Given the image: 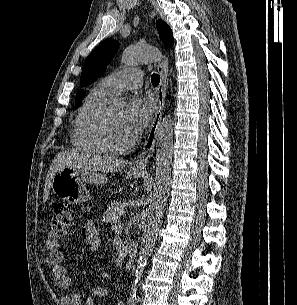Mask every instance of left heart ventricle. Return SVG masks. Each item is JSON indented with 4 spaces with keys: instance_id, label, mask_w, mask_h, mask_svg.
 <instances>
[{
    "instance_id": "left-heart-ventricle-1",
    "label": "left heart ventricle",
    "mask_w": 297,
    "mask_h": 305,
    "mask_svg": "<svg viewBox=\"0 0 297 305\" xmlns=\"http://www.w3.org/2000/svg\"><path fill=\"white\" fill-rule=\"evenodd\" d=\"M123 114L124 112L119 109H110L109 121H108V131L109 137L113 144L124 145L132 137L127 132L123 125Z\"/></svg>"
}]
</instances>
